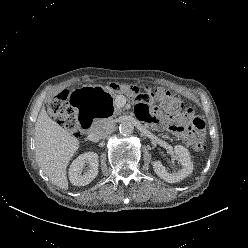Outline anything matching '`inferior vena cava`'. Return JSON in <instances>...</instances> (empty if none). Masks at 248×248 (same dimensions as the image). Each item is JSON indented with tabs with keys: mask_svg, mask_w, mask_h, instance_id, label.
I'll return each instance as SVG.
<instances>
[{
	"mask_svg": "<svg viewBox=\"0 0 248 248\" xmlns=\"http://www.w3.org/2000/svg\"><path fill=\"white\" fill-rule=\"evenodd\" d=\"M114 128L115 124L112 120H102L93 127L89 135L90 140L97 142L104 139L114 131Z\"/></svg>",
	"mask_w": 248,
	"mask_h": 248,
	"instance_id": "inferior-vena-cava-1",
	"label": "inferior vena cava"
}]
</instances>
